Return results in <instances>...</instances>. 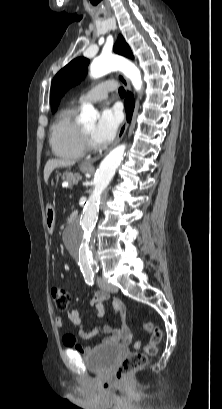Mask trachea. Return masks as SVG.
<instances>
[{
	"mask_svg": "<svg viewBox=\"0 0 222 409\" xmlns=\"http://www.w3.org/2000/svg\"><path fill=\"white\" fill-rule=\"evenodd\" d=\"M119 94H120L121 97H124V96H125V90H124L123 87H120V88H119Z\"/></svg>",
	"mask_w": 222,
	"mask_h": 409,
	"instance_id": "3493384b",
	"label": "trachea"
}]
</instances>
